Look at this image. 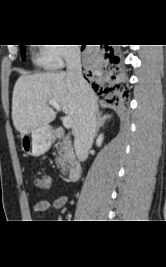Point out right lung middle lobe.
Segmentation results:
<instances>
[{
    "label": "right lung middle lobe",
    "mask_w": 166,
    "mask_h": 267,
    "mask_svg": "<svg viewBox=\"0 0 166 267\" xmlns=\"http://www.w3.org/2000/svg\"><path fill=\"white\" fill-rule=\"evenodd\" d=\"M20 47H21V55H22V59L24 60V59H25V52H24L23 45H20Z\"/></svg>",
    "instance_id": "right-lung-middle-lobe-1"
}]
</instances>
